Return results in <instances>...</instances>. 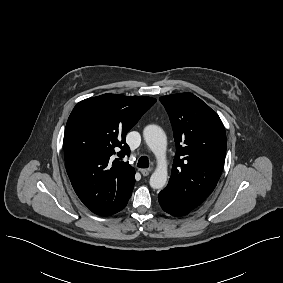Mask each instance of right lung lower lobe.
Returning a JSON list of instances; mask_svg holds the SVG:
<instances>
[{
  "instance_id": "right-lung-lower-lobe-1",
  "label": "right lung lower lobe",
  "mask_w": 283,
  "mask_h": 283,
  "mask_svg": "<svg viewBox=\"0 0 283 283\" xmlns=\"http://www.w3.org/2000/svg\"><path fill=\"white\" fill-rule=\"evenodd\" d=\"M126 204H127V203H126ZM126 204L122 207V209L126 206ZM122 209H121V210H122Z\"/></svg>"
}]
</instances>
